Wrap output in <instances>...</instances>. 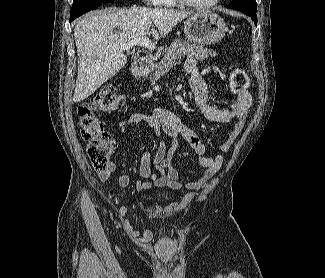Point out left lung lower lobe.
<instances>
[{"label": "left lung lower lobe", "mask_w": 325, "mask_h": 278, "mask_svg": "<svg viewBox=\"0 0 325 278\" xmlns=\"http://www.w3.org/2000/svg\"><path fill=\"white\" fill-rule=\"evenodd\" d=\"M227 7L245 13L252 18L255 25L257 24V4L255 0H233Z\"/></svg>", "instance_id": "obj_1"}]
</instances>
